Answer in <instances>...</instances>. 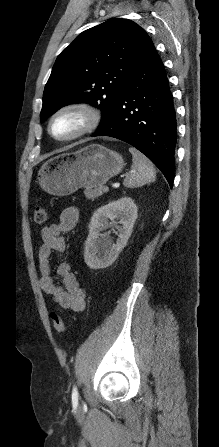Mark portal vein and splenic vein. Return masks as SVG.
Listing matches in <instances>:
<instances>
[{
  "mask_svg": "<svg viewBox=\"0 0 219 447\" xmlns=\"http://www.w3.org/2000/svg\"><path fill=\"white\" fill-rule=\"evenodd\" d=\"M109 190V187L107 186V185H104L103 187H102V191L103 192H107Z\"/></svg>",
  "mask_w": 219,
  "mask_h": 447,
  "instance_id": "obj_1",
  "label": "portal vein and splenic vein"
}]
</instances>
